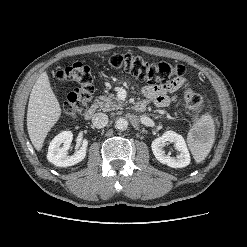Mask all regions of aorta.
Here are the masks:
<instances>
[{
    "label": "aorta",
    "instance_id": "762f6f07",
    "mask_svg": "<svg viewBox=\"0 0 247 247\" xmlns=\"http://www.w3.org/2000/svg\"><path fill=\"white\" fill-rule=\"evenodd\" d=\"M115 128L120 131H124L128 128V121L124 118H118L116 120Z\"/></svg>",
    "mask_w": 247,
    "mask_h": 247
}]
</instances>
